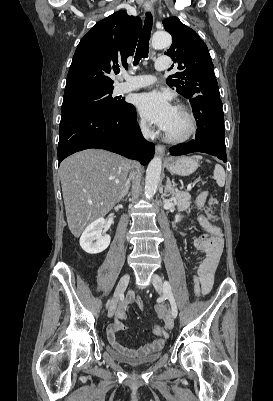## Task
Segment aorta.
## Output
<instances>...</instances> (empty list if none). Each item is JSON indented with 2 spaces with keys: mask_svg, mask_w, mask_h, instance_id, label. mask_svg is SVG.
Returning a JSON list of instances; mask_svg holds the SVG:
<instances>
[{
  "mask_svg": "<svg viewBox=\"0 0 273 401\" xmlns=\"http://www.w3.org/2000/svg\"><path fill=\"white\" fill-rule=\"evenodd\" d=\"M172 38L169 33L161 31L156 32L152 37V47L154 49H164L171 45ZM162 170V160L160 157H154L146 170L145 178V196L151 199L156 191L160 182V175Z\"/></svg>",
  "mask_w": 273,
  "mask_h": 401,
  "instance_id": "aorta-1",
  "label": "aorta"
}]
</instances>
